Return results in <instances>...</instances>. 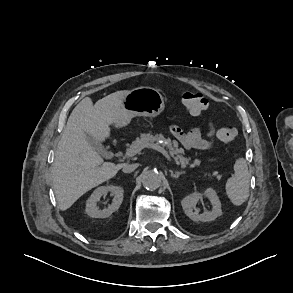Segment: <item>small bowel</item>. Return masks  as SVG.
Segmentation results:
<instances>
[{
    "mask_svg": "<svg viewBox=\"0 0 293 293\" xmlns=\"http://www.w3.org/2000/svg\"><path fill=\"white\" fill-rule=\"evenodd\" d=\"M171 132L173 136L179 141V143L186 149H209L214 141L215 128L212 122H209L203 132L201 128H193L189 132H185L180 126L173 124L171 126ZM203 134L205 136H203Z\"/></svg>",
    "mask_w": 293,
    "mask_h": 293,
    "instance_id": "1",
    "label": "small bowel"
}]
</instances>
